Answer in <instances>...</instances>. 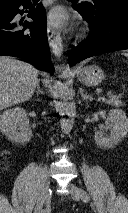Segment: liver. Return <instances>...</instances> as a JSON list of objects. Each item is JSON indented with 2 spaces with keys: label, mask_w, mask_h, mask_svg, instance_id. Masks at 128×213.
Wrapping results in <instances>:
<instances>
[{
  "label": "liver",
  "mask_w": 128,
  "mask_h": 213,
  "mask_svg": "<svg viewBox=\"0 0 128 213\" xmlns=\"http://www.w3.org/2000/svg\"><path fill=\"white\" fill-rule=\"evenodd\" d=\"M38 82V70L32 65L0 56V110L27 101Z\"/></svg>",
  "instance_id": "1"
}]
</instances>
